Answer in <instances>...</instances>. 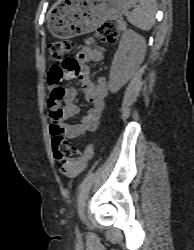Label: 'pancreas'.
<instances>
[{"label": "pancreas", "mask_w": 194, "mask_h": 250, "mask_svg": "<svg viewBox=\"0 0 194 250\" xmlns=\"http://www.w3.org/2000/svg\"><path fill=\"white\" fill-rule=\"evenodd\" d=\"M117 23H118V26H117L118 29H120V30H125L126 29V23L124 21L118 20Z\"/></svg>", "instance_id": "cf45deb5"}]
</instances>
